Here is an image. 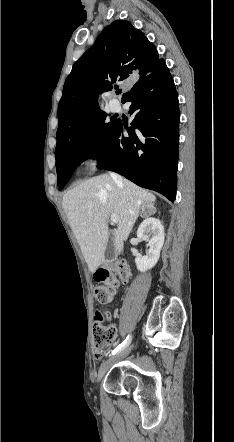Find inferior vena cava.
Segmentation results:
<instances>
[{"label":"inferior vena cava","mask_w":234,"mask_h":442,"mask_svg":"<svg viewBox=\"0 0 234 442\" xmlns=\"http://www.w3.org/2000/svg\"><path fill=\"white\" fill-rule=\"evenodd\" d=\"M110 176L112 177V179L116 182V183H121L122 182V178L120 175L116 174V173H111Z\"/></svg>","instance_id":"1"}]
</instances>
